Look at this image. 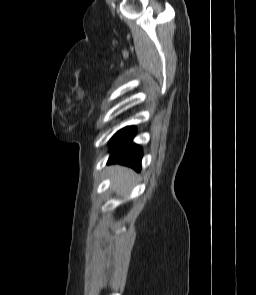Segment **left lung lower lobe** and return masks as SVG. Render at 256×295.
Instances as JSON below:
<instances>
[{"label":"left lung lower lobe","mask_w":256,"mask_h":295,"mask_svg":"<svg viewBox=\"0 0 256 295\" xmlns=\"http://www.w3.org/2000/svg\"><path fill=\"white\" fill-rule=\"evenodd\" d=\"M134 134V127L128 126L118 131L111 138V155L108 163H118L140 171L142 149L132 142Z\"/></svg>","instance_id":"obj_1"}]
</instances>
